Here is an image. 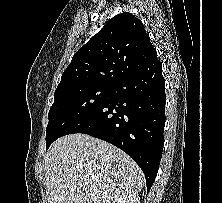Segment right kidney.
<instances>
[{"instance_id":"ca27d5eb","label":"right kidney","mask_w":222,"mask_h":203,"mask_svg":"<svg viewBox=\"0 0 222 203\" xmlns=\"http://www.w3.org/2000/svg\"><path fill=\"white\" fill-rule=\"evenodd\" d=\"M118 203H140V197L138 194L128 195L119 199Z\"/></svg>"}]
</instances>
